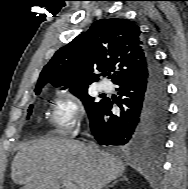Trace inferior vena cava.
<instances>
[{"label":"inferior vena cava","instance_id":"602c4592","mask_svg":"<svg viewBox=\"0 0 188 189\" xmlns=\"http://www.w3.org/2000/svg\"><path fill=\"white\" fill-rule=\"evenodd\" d=\"M88 147L92 153H96L98 151L97 147L94 144H90Z\"/></svg>","mask_w":188,"mask_h":189}]
</instances>
